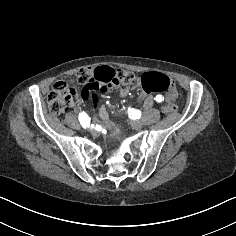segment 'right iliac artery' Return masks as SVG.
<instances>
[{"label": "right iliac artery", "instance_id": "82829eb1", "mask_svg": "<svg viewBox=\"0 0 236 236\" xmlns=\"http://www.w3.org/2000/svg\"><path fill=\"white\" fill-rule=\"evenodd\" d=\"M78 119H79L80 124L82 125V127L84 129L89 128V126H90V118H89V116L85 112L79 113Z\"/></svg>", "mask_w": 236, "mask_h": 236}]
</instances>
